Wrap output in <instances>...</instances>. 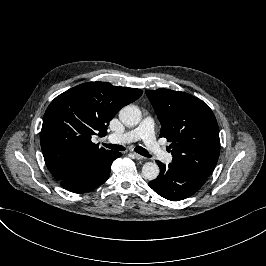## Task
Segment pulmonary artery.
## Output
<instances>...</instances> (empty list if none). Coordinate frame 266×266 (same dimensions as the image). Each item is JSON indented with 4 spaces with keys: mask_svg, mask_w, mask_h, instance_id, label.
<instances>
[{
    "mask_svg": "<svg viewBox=\"0 0 266 266\" xmlns=\"http://www.w3.org/2000/svg\"><path fill=\"white\" fill-rule=\"evenodd\" d=\"M154 126V121L150 118H147L142 124L137 125L134 130H131L125 134H110L107 136V139L111 143H120L126 141L135 143L142 139L148 148L153 149L158 158L165 160L167 159L168 154L162 149L160 141H158L151 132ZM170 161L171 158L168 160V162Z\"/></svg>",
    "mask_w": 266,
    "mask_h": 266,
    "instance_id": "1",
    "label": "pulmonary artery"
}]
</instances>
